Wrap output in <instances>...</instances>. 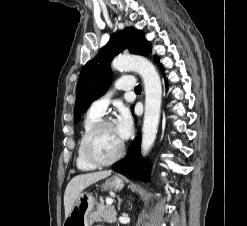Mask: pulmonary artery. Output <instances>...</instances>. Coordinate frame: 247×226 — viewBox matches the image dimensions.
<instances>
[{"label":"pulmonary artery","instance_id":"obj_1","mask_svg":"<svg viewBox=\"0 0 247 226\" xmlns=\"http://www.w3.org/2000/svg\"><path fill=\"white\" fill-rule=\"evenodd\" d=\"M135 87V80L132 76H123L121 78H119L116 83H115V87L114 90H131ZM114 90L109 91L107 93H105L104 95H102L101 97L97 98L96 100L93 101V103L91 104L90 110L99 115L102 116L107 108L108 105L110 104L112 97H113V93Z\"/></svg>","mask_w":247,"mask_h":226}]
</instances>
